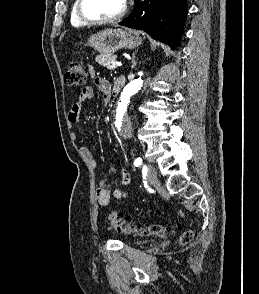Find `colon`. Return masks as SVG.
I'll return each instance as SVG.
<instances>
[{
  "label": "colon",
  "mask_w": 259,
  "mask_h": 294,
  "mask_svg": "<svg viewBox=\"0 0 259 294\" xmlns=\"http://www.w3.org/2000/svg\"><path fill=\"white\" fill-rule=\"evenodd\" d=\"M86 72L78 61H71L64 76L67 86H82L86 82ZM106 222L111 229L126 235L149 236L163 235L171 231L170 227L161 224L142 225L134 223L130 218L124 217L120 212L112 211L108 214ZM192 231L184 232L180 237L181 244H187L192 238Z\"/></svg>",
  "instance_id": "1"
}]
</instances>
